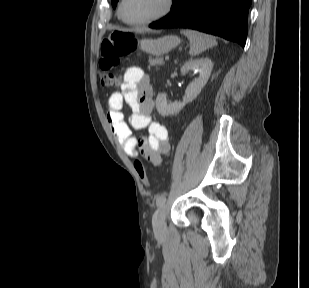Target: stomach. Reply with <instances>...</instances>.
Instances as JSON below:
<instances>
[{"mask_svg":"<svg viewBox=\"0 0 309 288\" xmlns=\"http://www.w3.org/2000/svg\"><path fill=\"white\" fill-rule=\"evenodd\" d=\"M180 39L177 36H164L158 39H143L140 41V48L152 55L160 56L168 53L179 45Z\"/></svg>","mask_w":309,"mask_h":288,"instance_id":"stomach-1","label":"stomach"}]
</instances>
